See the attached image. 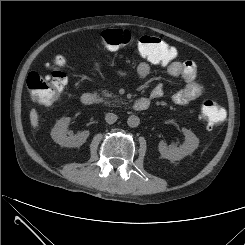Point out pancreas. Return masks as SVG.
<instances>
[{
  "mask_svg": "<svg viewBox=\"0 0 245 245\" xmlns=\"http://www.w3.org/2000/svg\"><path fill=\"white\" fill-rule=\"evenodd\" d=\"M103 96H104V97H108V98H114V102H115V103L120 102V99L117 98L116 95H113V94H112L111 92H109V91L104 90V91H103ZM106 103H109V101H107Z\"/></svg>",
  "mask_w": 245,
  "mask_h": 245,
  "instance_id": "obj_1",
  "label": "pancreas"
}]
</instances>
